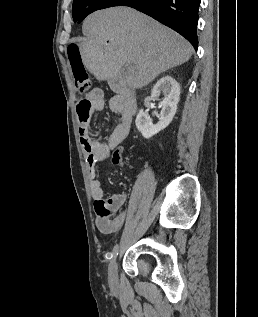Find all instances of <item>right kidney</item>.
<instances>
[{
  "mask_svg": "<svg viewBox=\"0 0 258 317\" xmlns=\"http://www.w3.org/2000/svg\"><path fill=\"white\" fill-rule=\"evenodd\" d=\"M161 90L165 98H163L161 102L162 108L159 122L153 124L152 118H150L148 112H144L143 108L139 110L136 116L135 124L145 138H150V136H153V134H156V132H159L162 128H166L172 118H174V114L177 110V104L180 98V86L177 80L169 76V74L162 76V78L154 84L151 90V96L157 98Z\"/></svg>",
  "mask_w": 258,
  "mask_h": 317,
  "instance_id": "right-kidney-1",
  "label": "right kidney"
}]
</instances>
